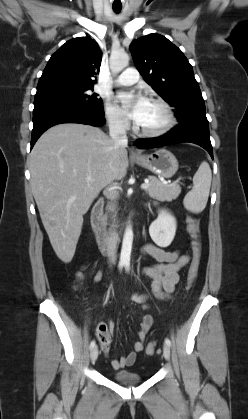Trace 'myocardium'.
Here are the masks:
<instances>
[{
  "label": "myocardium",
  "mask_w": 248,
  "mask_h": 419,
  "mask_svg": "<svg viewBox=\"0 0 248 419\" xmlns=\"http://www.w3.org/2000/svg\"><path fill=\"white\" fill-rule=\"evenodd\" d=\"M149 101L159 105L163 109L166 116L165 123L159 128L153 129V130L143 129L138 124L135 125L134 129L137 134L144 137H149V138L160 137L166 134L167 132H169L174 127L176 123V116L173 111V108L163 98L152 97L149 99Z\"/></svg>",
  "instance_id": "obj_1"
}]
</instances>
